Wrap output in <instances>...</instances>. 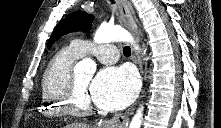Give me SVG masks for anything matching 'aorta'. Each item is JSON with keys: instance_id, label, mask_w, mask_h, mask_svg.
I'll return each instance as SVG.
<instances>
[{"instance_id": "obj_1", "label": "aorta", "mask_w": 221, "mask_h": 128, "mask_svg": "<svg viewBox=\"0 0 221 128\" xmlns=\"http://www.w3.org/2000/svg\"><path fill=\"white\" fill-rule=\"evenodd\" d=\"M94 42L101 43H110V42H127L135 46V49L138 50V46L135 45L134 38L132 35L125 29L117 26L101 25L94 35ZM96 70V64L91 58H85L74 68L75 74H85L86 76H92ZM144 106L141 105L135 115L133 116L129 128H140L142 119H143Z\"/></svg>"}]
</instances>
